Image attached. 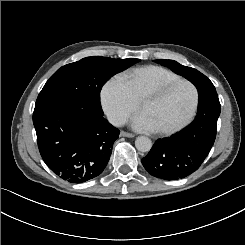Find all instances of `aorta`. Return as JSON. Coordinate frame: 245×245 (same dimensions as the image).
<instances>
[{
  "mask_svg": "<svg viewBox=\"0 0 245 245\" xmlns=\"http://www.w3.org/2000/svg\"><path fill=\"white\" fill-rule=\"evenodd\" d=\"M135 147L140 152H148L152 147V142L148 137L139 136L135 140Z\"/></svg>",
  "mask_w": 245,
  "mask_h": 245,
  "instance_id": "obj_1",
  "label": "aorta"
}]
</instances>
